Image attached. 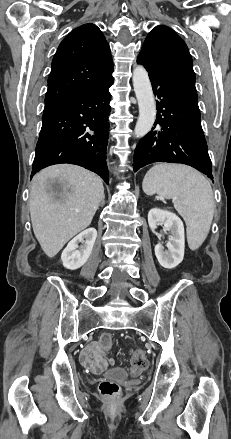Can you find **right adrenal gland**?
I'll return each mask as SVG.
<instances>
[{"instance_id":"right-adrenal-gland-1","label":"right adrenal gland","mask_w":231,"mask_h":439,"mask_svg":"<svg viewBox=\"0 0 231 439\" xmlns=\"http://www.w3.org/2000/svg\"><path fill=\"white\" fill-rule=\"evenodd\" d=\"M105 204V200H104V198L102 199V202H101V206H103Z\"/></svg>"}]
</instances>
